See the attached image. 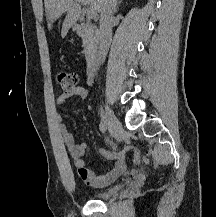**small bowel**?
Listing matches in <instances>:
<instances>
[{
  "label": "small bowel",
  "instance_id": "c3829d8e",
  "mask_svg": "<svg viewBox=\"0 0 216 217\" xmlns=\"http://www.w3.org/2000/svg\"><path fill=\"white\" fill-rule=\"evenodd\" d=\"M87 83H93V76H89L87 78ZM88 96L87 88L83 86H77L72 90L65 91L61 93L57 99L56 104L58 106H63L67 103V101L71 98L77 97L79 99H85ZM60 133L63 138V142L65 147L67 148L70 157L73 160V163L77 169L79 178L87 185L94 187H103L107 186L114 181H116L124 172L126 165V151L119 152H108L104 149H100L99 153L102 157L106 159L114 160V165L107 173L102 175L95 174L91 169H89L84 161V154L87 150L86 142H76L72 133L69 132L66 124L63 121L61 115L57 117ZM134 164L138 165L139 160L136 158L134 160Z\"/></svg>",
  "mask_w": 216,
  "mask_h": 217
}]
</instances>
